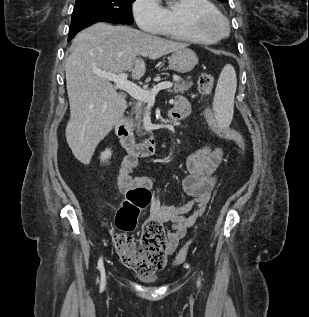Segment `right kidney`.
<instances>
[{"label":"right kidney","mask_w":309,"mask_h":317,"mask_svg":"<svg viewBox=\"0 0 309 317\" xmlns=\"http://www.w3.org/2000/svg\"><path fill=\"white\" fill-rule=\"evenodd\" d=\"M112 152L110 149H106L104 152L101 153L100 159L102 162H106L111 158Z\"/></svg>","instance_id":"ca27d5eb"}]
</instances>
